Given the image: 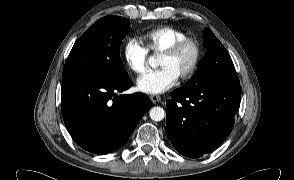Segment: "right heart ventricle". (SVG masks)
Returning a JSON list of instances; mask_svg holds the SVG:
<instances>
[{"label":"right heart ventricle","mask_w":294,"mask_h":180,"mask_svg":"<svg viewBox=\"0 0 294 180\" xmlns=\"http://www.w3.org/2000/svg\"><path fill=\"white\" fill-rule=\"evenodd\" d=\"M186 37L187 34L184 31L175 27L164 26L142 33L139 39L147 52L160 54L174 42Z\"/></svg>","instance_id":"e07e8e85"}]
</instances>
